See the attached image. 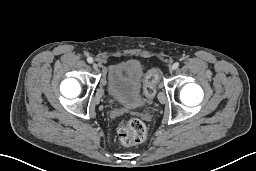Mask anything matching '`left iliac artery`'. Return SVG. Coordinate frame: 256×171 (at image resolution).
<instances>
[{"mask_svg":"<svg viewBox=\"0 0 256 171\" xmlns=\"http://www.w3.org/2000/svg\"><path fill=\"white\" fill-rule=\"evenodd\" d=\"M178 67H179V63H177V62L174 63L173 66H172V68H173L174 70L177 69Z\"/></svg>","mask_w":256,"mask_h":171,"instance_id":"obj_1","label":"left iliac artery"}]
</instances>
